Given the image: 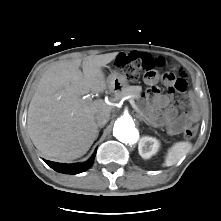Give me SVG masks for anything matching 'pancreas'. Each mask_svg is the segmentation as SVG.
<instances>
[{"label":"pancreas","instance_id":"cf45deb5","mask_svg":"<svg viewBox=\"0 0 221 221\" xmlns=\"http://www.w3.org/2000/svg\"><path fill=\"white\" fill-rule=\"evenodd\" d=\"M140 86H127L120 93L117 94V98H121L126 95H132L133 100L138 99L140 96Z\"/></svg>","mask_w":221,"mask_h":221}]
</instances>
